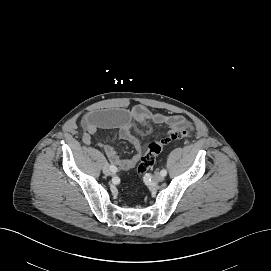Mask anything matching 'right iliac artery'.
Masks as SVG:
<instances>
[{
	"instance_id": "82829eb1",
	"label": "right iliac artery",
	"mask_w": 271,
	"mask_h": 271,
	"mask_svg": "<svg viewBox=\"0 0 271 271\" xmlns=\"http://www.w3.org/2000/svg\"><path fill=\"white\" fill-rule=\"evenodd\" d=\"M110 169H111V171L113 172V173H115V172H117V167L116 166H114V165H110Z\"/></svg>"
}]
</instances>
